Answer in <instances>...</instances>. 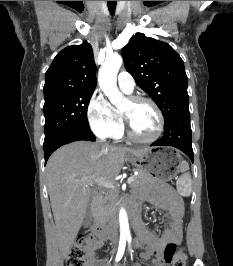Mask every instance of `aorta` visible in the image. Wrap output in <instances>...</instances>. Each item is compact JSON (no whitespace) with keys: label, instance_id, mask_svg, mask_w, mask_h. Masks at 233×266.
<instances>
[{"label":"aorta","instance_id":"aorta-1","mask_svg":"<svg viewBox=\"0 0 233 266\" xmlns=\"http://www.w3.org/2000/svg\"><path fill=\"white\" fill-rule=\"evenodd\" d=\"M122 62V57L119 55L107 57L105 62L102 64L98 74V82L100 88L109 98L110 102L116 106L120 105V103L123 101V94L117 87V74L122 65ZM119 223L121 239H129L130 229L128 216L124 208L120 209Z\"/></svg>","mask_w":233,"mask_h":266}]
</instances>
